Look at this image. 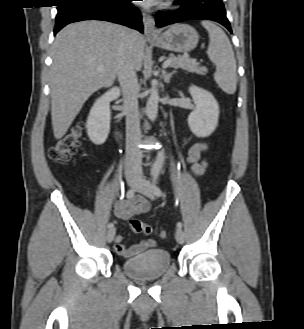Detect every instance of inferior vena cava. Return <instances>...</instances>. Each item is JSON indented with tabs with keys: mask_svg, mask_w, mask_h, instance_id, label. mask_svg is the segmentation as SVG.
I'll use <instances>...</instances> for the list:
<instances>
[{
	"mask_svg": "<svg viewBox=\"0 0 304 329\" xmlns=\"http://www.w3.org/2000/svg\"><path fill=\"white\" fill-rule=\"evenodd\" d=\"M117 76L123 92V110L126 114V176L142 178V153L137 148L141 139L138 111L139 84L132 59L128 31H122V46L118 60Z\"/></svg>",
	"mask_w": 304,
	"mask_h": 329,
	"instance_id": "obj_1",
	"label": "inferior vena cava"
}]
</instances>
